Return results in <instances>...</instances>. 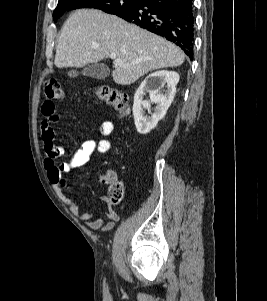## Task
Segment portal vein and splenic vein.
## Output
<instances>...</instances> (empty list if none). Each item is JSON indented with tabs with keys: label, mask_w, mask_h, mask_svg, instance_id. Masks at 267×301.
Instances as JSON below:
<instances>
[{
	"label": "portal vein and splenic vein",
	"mask_w": 267,
	"mask_h": 301,
	"mask_svg": "<svg viewBox=\"0 0 267 301\" xmlns=\"http://www.w3.org/2000/svg\"><path fill=\"white\" fill-rule=\"evenodd\" d=\"M109 56H110L111 59L114 60V63H115L116 65L123 66V67L126 66L121 60H119V59L116 58V55H115V54L112 53V54H110Z\"/></svg>",
	"instance_id": "portal-vein-and-splenic-vein-1"
}]
</instances>
